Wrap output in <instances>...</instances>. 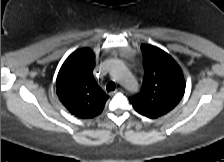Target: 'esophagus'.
<instances>
[{
	"mask_svg": "<svg viewBox=\"0 0 224 162\" xmlns=\"http://www.w3.org/2000/svg\"><path fill=\"white\" fill-rule=\"evenodd\" d=\"M120 92H123V90L119 88V89H117V90H115L113 92H110V96H113V95H115L117 93H120Z\"/></svg>",
	"mask_w": 224,
	"mask_h": 162,
	"instance_id": "34e87169",
	"label": "esophagus"
}]
</instances>
